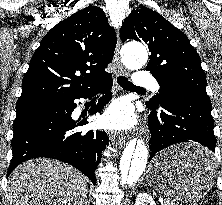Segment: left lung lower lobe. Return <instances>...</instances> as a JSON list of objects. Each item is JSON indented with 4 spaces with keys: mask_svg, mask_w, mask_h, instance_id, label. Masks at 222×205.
Listing matches in <instances>:
<instances>
[{
    "mask_svg": "<svg viewBox=\"0 0 222 205\" xmlns=\"http://www.w3.org/2000/svg\"><path fill=\"white\" fill-rule=\"evenodd\" d=\"M163 110L149 112L151 139L150 158L173 144L196 142L204 147V153H195L190 161L201 165L212 164L211 152H215L214 120L209 97L202 94L172 89L162 96Z\"/></svg>",
    "mask_w": 222,
    "mask_h": 205,
    "instance_id": "1",
    "label": "left lung lower lobe"
}]
</instances>
